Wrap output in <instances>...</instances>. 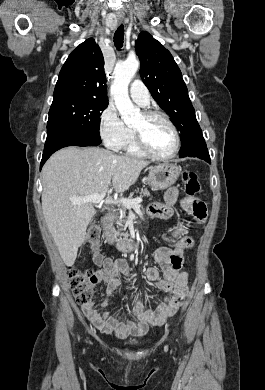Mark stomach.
<instances>
[{"mask_svg":"<svg viewBox=\"0 0 265 390\" xmlns=\"http://www.w3.org/2000/svg\"><path fill=\"white\" fill-rule=\"evenodd\" d=\"M181 168L175 164H161L150 169L148 183L153 190H164L178 179Z\"/></svg>","mask_w":265,"mask_h":390,"instance_id":"0dacf381","label":"stomach"}]
</instances>
